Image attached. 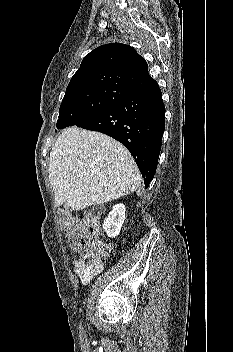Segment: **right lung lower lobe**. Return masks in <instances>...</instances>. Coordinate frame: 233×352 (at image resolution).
Returning a JSON list of instances; mask_svg holds the SVG:
<instances>
[{
	"mask_svg": "<svg viewBox=\"0 0 233 352\" xmlns=\"http://www.w3.org/2000/svg\"><path fill=\"white\" fill-rule=\"evenodd\" d=\"M77 126L107 134L126 146L144 178L145 188L149 186L165 129V106L157 82Z\"/></svg>",
	"mask_w": 233,
	"mask_h": 352,
	"instance_id": "right-lung-lower-lobe-1",
	"label": "right lung lower lobe"
}]
</instances>
